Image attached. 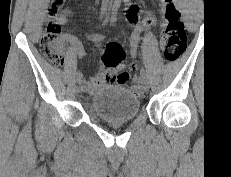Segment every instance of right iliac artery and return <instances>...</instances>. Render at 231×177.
Wrapping results in <instances>:
<instances>
[{
    "mask_svg": "<svg viewBox=\"0 0 231 177\" xmlns=\"http://www.w3.org/2000/svg\"><path fill=\"white\" fill-rule=\"evenodd\" d=\"M105 10H106V6H103L102 9H101V18L103 17V14L105 13ZM76 81L78 83H81L82 82V73L81 72H78L77 73V76H76Z\"/></svg>",
    "mask_w": 231,
    "mask_h": 177,
    "instance_id": "1",
    "label": "right iliac artery"
}]
</instances>
